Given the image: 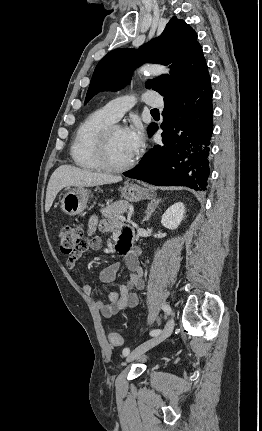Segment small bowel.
Wrapping results in <instances>:
<instances>
[{
    "mask_svg": "<svg viewBox=\"0 0 262 431\" xmlns=\"http://www.w3.org/2000/svg\"><path fill=\"white\" fill-rule=\"evenodd\" d=\"M96 228H99L103 232L113 231L116 237L119 238V242L124 241L123 249L130 247V241L133 236L132 228L122 224H113L106 220L100 221L97 217H92L89 220V230L87 235L93 236ZM100 247L101 243L99 241L97 245H94L89 249L96 251L99 250ZM80 256L81 254L78 256L69 257L66 260L67 267L71 269L74 268L77 261L80 259ZM140 256L141 251L136 247H132L127 250L124 257V263L129 271L128 283L126 285H120L115 291H112L108 296V302L101 300L96 301V306L103 317L111 318L124 308H133L138 305L139 292L144 288V280L142 277L143 270L139 261ZM118 269L119 264L117 263L103 269L100 272L101 280L105 283H111L114 280ZM78 287L86 294L92 293L91 286L86 282L79 281Z\"/></svg>",
    "mask_w": 262,
    "mask_h": 431,
    "instance_id": "c3829d8e",
    "label": "small bowel"
}]
</instances>
